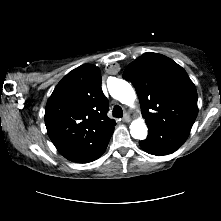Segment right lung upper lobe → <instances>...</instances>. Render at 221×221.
I'll list each match as a JSON object with an SVG mask.
<instances>
[{
  "mask_svg": "<svg viewBox=\"0 0 221 221\" xmlns=\"http://www.w3.org/2000/svg\"><path fill=\"white\" fill-rule=\"evenodd\" d=\"M108 110L98 67L85 64L69 72L55 87L45 109L47 132L59 153L78 162L93 151L116 125L107 116Z\"/></svg>",
  "mask_w": 221,
  "mask_h": 221,
  "instance_id": "cb5924a9",
  "label": "right lung upper lobe"
}]
</instances>
